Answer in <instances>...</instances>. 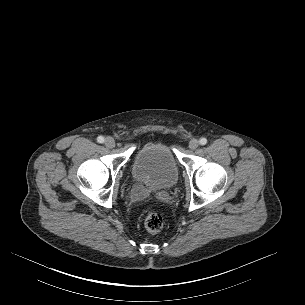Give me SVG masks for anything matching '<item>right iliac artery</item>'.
Masks as SVG:
<instances>
[{
	"label": "right iliac artery",
	"instance_id": "obj_1",
	"mask_svg": "<svg viewBox=\"0 0 305 305\" xmlns=\"http://www.w3.org/2000/svg\"><path fill=\"white\" fill-rule=\"evenodd\" d=\"M97 141H98L99 143H103V142H104V137H103V136H99V137L97 138Z\"/></svg>",
	"mask_w": 305,
	"mask_h": 305
}]
</instances>
